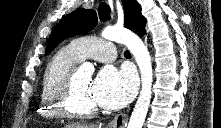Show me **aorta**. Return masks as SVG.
I'll list each match as a JSON object with an SVG mask.
<instances>
[{
    "label": "aorta",
    "instance_id": "1",
    "mask_svg": "<svg viewBox=\"0 0 221 128\" xmlns=\"http://www.w3.org/2000/svg\"><path fill=\"white\" fill-rule=\"evenodd\" d=\"M101 36L104 39L124 44L137 62L142 87L127 128H142L152 95L153 71L149 51L135 33L124 28L106 27L103 29ZM80 69L87 73L94 72V66L90 62H84Z\"/></svg>",
    "mask_w": 221,
    "mask_h": 128
}]
</instances>
